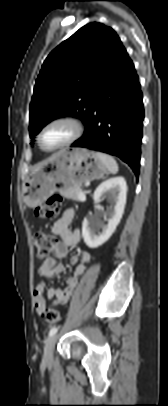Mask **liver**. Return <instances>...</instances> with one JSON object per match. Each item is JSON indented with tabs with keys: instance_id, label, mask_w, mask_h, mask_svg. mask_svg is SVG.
<instances>
[{
	"instance_id": "6515ba94",
	"label": "liver",
	"mask_w": 168,
	"mask_h": 406,
	"mask_svg": "<svg viewBox=\"0 0 168 406\" xmlns=\"http://www.w3.org/2000/svg\"><path fill=\"white\" fill-rule=\"evenodd\" d=\"M43 163H44V162H43ZM43 163H42V164H43ZM42 164H40L39 166H41ZM39 166H38V167H39ZM38 167H37V168H38Z\"/></svg>"
}]
</instances>
